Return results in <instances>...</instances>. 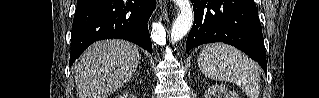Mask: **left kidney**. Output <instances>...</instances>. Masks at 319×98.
I'll return each instance as SVG.
<instances>
[{
	"label": "left kidney",
	"instance_id": "1",
	"mask_svg": "<svg viewBox=\"0 0 319 98\" xmlns=\"http://www.w3.org/2000/svg\"><path fill=\"white\" fill-rule=\"evenodd\" d=\"M239 98V95L234 92L230 91L225 86L214 85L208 88L205 92V98Z\"/></svg>",
	"mask_w": 319,
	"mask_h": 98
}]
</instances>
